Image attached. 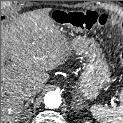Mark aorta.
<instances>
[{
    "label": "aorta",
    "mask_w": 123,
    "mask_h": 123,
    "mask_svg": "<svg viewBox=\"0 0 123 123\" xmlns=\"http://www.w3.org/2000/svg\"><path fill=\"white\" fill-rule=\"evenodd\" d=\"M61 95L59 92L50 91L44 96V104L49 109H56L61 105Z\"/></svg>",
    "instance_id": "obj_1"
}]
</instances>
